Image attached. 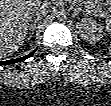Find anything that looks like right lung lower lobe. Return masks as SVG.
<instances>
[{
    "mask_svg": "<svg viewBox=\"0 0 111 106\" xmlns=\"http://www.w3.org/2000/svg\"><path fill=\"white\" fill-rule=\"evenodd\" d=\"M34 52L35 51H33L32 53L25 55L23 57L17 58V59H12V60H8V61H0V65L13 64V63H17L19 61L25 60V59L29 58L30 56H32Z\"/></svg>",
    "mask_w": 111,
    "mask_h": 106,
    "instance_id": "1",
    "label": "right lung lower lobe"
}]
</instances>
